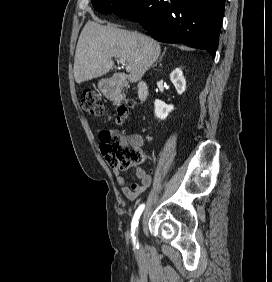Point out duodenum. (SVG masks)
Returning a JSON list of instances; mask_svg holds the SVG:
<instances>
[{"label":"duodenum","mask_w":272,"mask_h":282,"mask_svg":"<svg viewBox=\"0 0 272 282\" xmlns=\"http://www.w3.org/2000/svg\"><path fill=\"white\" fill-rule=\"evenodd\" d=\"M123 76H117L111 79L107 84L104 86L107 98L112 101H120L123 96L124 87L121 83ZM137 94L138 98L141 101H145L148 97V87L147 84L143 81L138 83L137 86Z\"/></svg>","instance_id":"410a0bca"}]
</instances>
